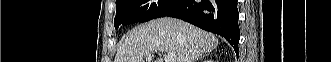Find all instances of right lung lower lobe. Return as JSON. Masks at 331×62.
<instances>
[{
    "label": "right lung lower lobe",
    "mask_w": 331,
    "mask_h": 62,
    "mask_svg": "<svg viewBox=\"0 0 331 62\" xmlns=\"http://www.w3.org/2000/svg\"><path fill=\"white\" fill-rule=\"evenodd\" d=\"M175 17L224 37L238 54L237 0H181L162 17Z\"/></svg>",
    "instance_id": "right-lung-lower-lobe-1"
}]
</instances>
